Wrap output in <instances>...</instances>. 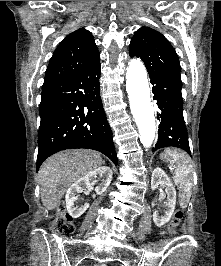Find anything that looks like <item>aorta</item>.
I'll use <instances>...</instances> for the list:
<instances>
[{
    "instance_id": "aorta-1",
    "label": "aorta",
    "mask_w": 221,
    "mask_h": 266,
    "mask_svg": "<svg viewBox=\"0 0 221 266\" xmlns=\"http://www.w3.org/2000/svg\"><path fill=\"white\" fill-rule=\"evenodd\" d=\"M126 90L130 109L139 129L140 141L151 147L156 132L154 108L151 103L145 66L139 59H132L126 72Z\"/></svg>"
}]
</instances>
